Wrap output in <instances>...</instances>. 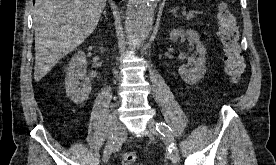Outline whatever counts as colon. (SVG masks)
<instances>
[{
  "instance_id": "obj_1",
  "label": "colon",
  "mask_w": 276,
  "mask_h": 165,
  "mask_svg": "<svg viewBox=\"0 0 276 165\" xmlns=\"http://www.w3.org/2000/svg\"><path fill=\"white\" fill-rule=\"evenodd\" d=\"M218 34L224 53L225 71L231 80L237 83L244 73L245 64L239 46L236 18L224 4L219 6ZM135 161L136 155L132 152H126L121 156L122 165H133Z\"/></svg>"
}]
</instances>
